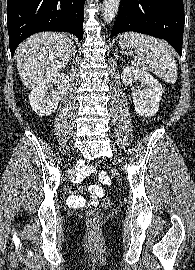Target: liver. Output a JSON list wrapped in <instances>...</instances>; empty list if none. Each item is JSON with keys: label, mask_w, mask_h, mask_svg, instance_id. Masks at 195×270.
<instances>
[{"label": "liver", "mask_w": 195, "mask_h": 270, "mask_svg": "<svg viewBox=\"0 0 195 270\" xmlns=\"http://www.w3.org/2000/svg\"><path fill=\"white\" fill-rule=\"evenodd\" d=\"M74 43L64 34L42 32L29 37L16 50L17 69L23 85L32 89L65 68Z\"/></svg>", "instance_id": "obj_1"}]
</instances>
